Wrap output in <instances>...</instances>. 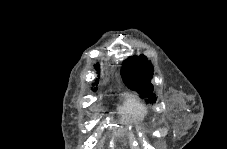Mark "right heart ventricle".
Segmentation results:
<instances>
[{
	"instance_id": "e07e8e85",
	"label": "right heart ventricle",
	"mask_w": 227,
	"mask_h": 149,
	"mask_svg": "<svg viewBox=\"0 0 227 149\" xmlns=\"http://www.w3.org/2000/svg\"><path fill=\"white\" fill-rule=\"evenodd\" d=\"M123 124H138L147 117V108L134 96H127L118 108Z\"/></svg>"
}]
</instances>
